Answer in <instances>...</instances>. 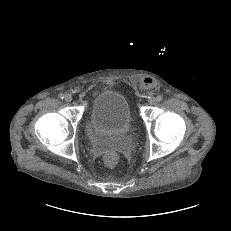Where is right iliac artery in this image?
<instances>
[{"mask_svg": "<svg viewBox=\"0 0 231 231\" xmlns=\"http://www.w3.org/2000/svg\"><path fill=\"white\" fill-rule=\"evenodd\" d=\"M59 98L60 99H63L64 98V95L61 93V94H59Z\"/></svg>", "mask_w": 231, "mask_h": 231, "instance_id": "right-iliac-artery-1", "label": "right iliac artery"}]
</instances>
